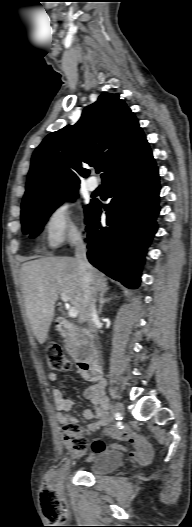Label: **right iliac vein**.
<instances>
[{
    "label": "right iliac vein",
    "instance_id": "63e3f726",
    "mask_svg": "<svg viewBox=\"0 0 192 527\" xmlns=\"http://www.w3.org/2000/svg\"><path fill=\"white\" fill-rule=\"evenodd\" d=\"M115 411L118 412V413H120V414H123V412H124V406H123V404H122V403H119V402L116 403V404H115Z\"/></svg>",
    "mask_w": 192,
    "mask_h": 527
}]
</instances>
